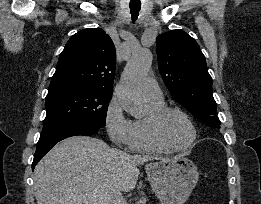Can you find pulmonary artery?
Segmentation results:
<instances>
[{
    "label": "pulmonary artery",
    "instance_id": "pulmonary-artery-1",
    "mask_svg": "<svg viewBox=\"0 0 261 204\" xmlns=\"http://www.w3.org/2000/svg\"><path fill=\"white\" fill-rule=\"evenodd\" d=\"M141 92L145 100L159 101L163 99V93L153 78H147L142 82Z\"/></svg>",
    "mask_w": 261,
    "mask_h": 204
}]
</instances>
